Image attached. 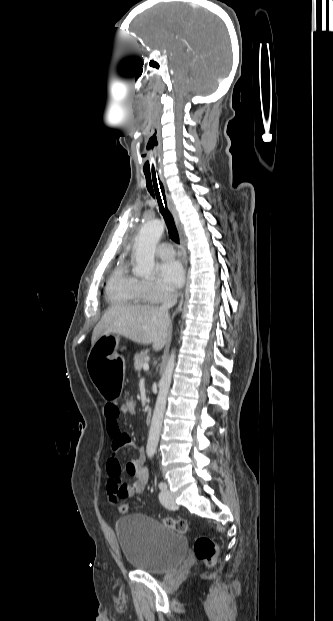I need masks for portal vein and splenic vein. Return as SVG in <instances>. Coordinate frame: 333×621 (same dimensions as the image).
<instances>
[{
	"label": "portal vein and splenic vein",
	"mask_w": 333,
	"mask_h": 621,
	"mask_svg": "<svg viewBox=\"0 0 333 621\" xmlns=\"http://www.w3.org/2000/svg\"><path fill=\"white\" fill-rule=\"evenodd\" d=\"M143 369H144V370H149V365H148L147 363H145V364L143 365Z\"/></svg>",
	"instance_id": "obj_1"
}]
</instances>
